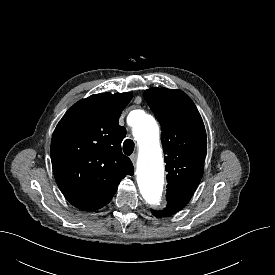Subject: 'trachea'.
I'll return each mask as SVG.
<instances>
[{"label": "trachea", "instance_id": "obj_1", "mask_svg": "<svg viewBox=\"0 0 275 275\" xmlns=\"http://www.w3.org/2000/svg\"><path fill=\"white\" fill-rule=\"evenodd\" d=\"M134 151V142L131 139H126L123 143V152L126 155H131Z\"/></svg>", "mask_w": 275, "mask_h": 275}]
</instances>
